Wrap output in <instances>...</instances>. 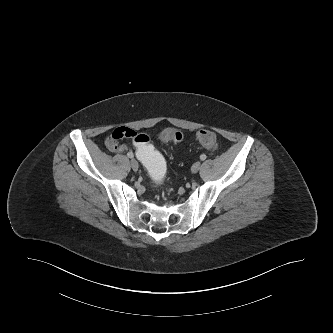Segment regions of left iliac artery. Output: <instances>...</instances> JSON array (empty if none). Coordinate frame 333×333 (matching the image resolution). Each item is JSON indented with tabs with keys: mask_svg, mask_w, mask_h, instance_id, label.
Masks as SVG:
<instances>
[{
	"mask_svg": "<svg viewBox=\"0 0 333 333\" xmlns=\"http://www.w3.org/2000/svg\"><path fill=\"white\" fill-rule=\"evenodd\" d=\"M200 159H201V160H205V159H206V155H205V154H202V155L200 156Z\"/></svg>",
	"mask_w": 333,
	"mask_h": 333,
	"instance_id": "44dca946",
	"label": "left iliac artery"
}]
</instances>
